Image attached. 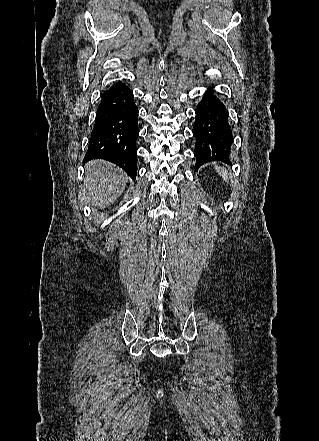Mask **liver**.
Segmentation results:
<instances>
[{
	"label": "liver",
	"mask_w": 319,
	"mask_h": 441,
	"mask_svg": "<svg viewBox=\"0 0 319 441\" xmlns=\"http://www.w3.org/2000/svg\"><path fill=\"white\" fill-rule=\"evenodd\" d=\"M87 174L81 198L91 206L104 209L122 194L128 181L127 174L110 162L94 160L85 165Z\"/></svg>",
	"instance_id": "obj_1"
}]
</instances>
